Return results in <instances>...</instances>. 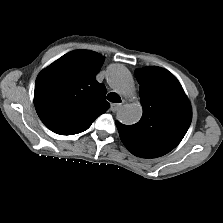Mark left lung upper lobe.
<instances>
[{
	"label": "left lung upper lobe",
	"mask_w": 223,
	"mask_h": 223,
	"mask_svg": "<svg viewBox=\"0 0 223 223\" xmlns=\"http://www.w3.org/2000/svg\"><path fill=\"white\" fill-rule=\"evenodd\" d=\"M143 105L141 120L134 125L116 121L126 148L142 158H156L174 149L185 136L191 120L189 100L177 80L160 67L135 71Z\"/></svg>",
	"instance_id": "left-lung-upper-lobe-1"
}]
</instances>
